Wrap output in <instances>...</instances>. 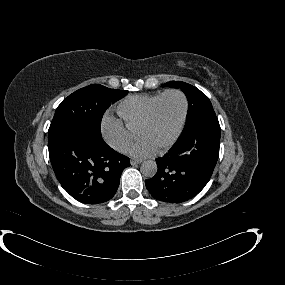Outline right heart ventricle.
Segmentation results:
<instances>
[{
	"label": "right heart ventricle",
	"mask_w": 285,
	"mask_h": 285,
	"mask_svg": "<svg viewBox=\"0 0 285 285\" xmlns=\"http://www.w3.org/2000/svg\"><path fill=\"white\" fill-rule=\"evenodd\" d=\"M162 93L137 94L127 97L119 103L117 108L120 120L128 129L136 130Z\"/></svg>",
	"instance_id": "e07e8e85"
}]
</instances>
